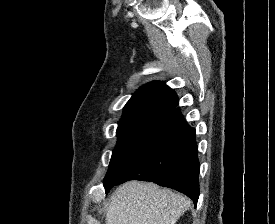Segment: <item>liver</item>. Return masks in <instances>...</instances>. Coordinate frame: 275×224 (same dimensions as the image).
<instances>
[{
  "instance_id": "liver-1",
  "label": "liver",
  "mask_w": 275,
  "mask_h": 224,
  "mask_svg": "<svg viewBox=\"0 0 275 224\" xmlns=\"http://www.w3.org/2000/svg\"><path fill=\"white\" fill-rule=\"evenodd\" d=\"M190 201L154 183L129 181L112 194L105 224H175Z\"/></svg>"
}]
</instances>
